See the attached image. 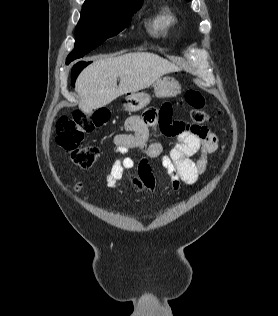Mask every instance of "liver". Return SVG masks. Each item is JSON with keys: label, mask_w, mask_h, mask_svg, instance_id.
Returning <instances> with one entry per match:
<instances>
[{"label": "liver", "mask_w": 278, "mask_h": 316, "mask_svg": "<svg viewBox=\"0 0 278 316\" xmlns=\"http://www.w3.org/2000/svg\"><path fill=\"white\" fill-rule=\"evenodd\" d=\"M179 71V67L148 52L128 53L97 59L78 76L75 91L84 113L103 107L117 97L136 93L152 85L161 76ZM120 83L117 86V78Z\"/></svg>", "instance_id": "1"}]
</instances>
